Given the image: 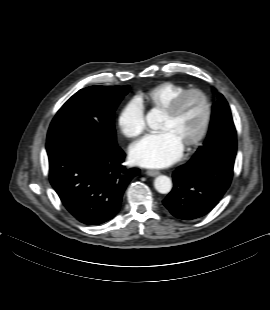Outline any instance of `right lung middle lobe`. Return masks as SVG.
Here are the masks:
<instances>
[{
  "mask_svg": "<svg viewBox=\"0 0 270 310\" xmlns=\"http://www.w3.org/2000/svg\"><path fill=\"white\" fill-rule=\"evenodd\" d=\"M129 86H91L75 93L55 115L48 141H90L117 145L114 112Z\"/></svg>",
  "mask_w": 270,
  "mask_h": 310,
  "instance_id": "obj_1",
  "label": "right lung middle lobe"
}]
</instances>
